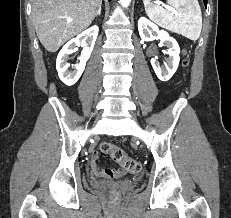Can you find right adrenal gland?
<instances>
[{
	"label": "right adrenal gland",
	"instance_id": "1",
	"mask_svg": "<svg viewBox=\"0 0 231 218\" xmlns=\"http://www.w3.org/2000/svg\"><path fill=\"white\" fill-rule=\"evenodd\" d=\"M100 14H101V6L99 7V10H98V12H97V14H96V17H97V16H100Z\"/></svg>",
	"mask_w": 231,
	"mask_h": 218
}]
</instances>
